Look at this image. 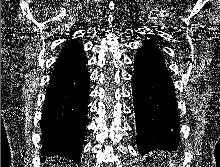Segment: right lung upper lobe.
<instances>
[{
	"label": "right lung upper lobe",
	"mask_w": 220,
	"mask_h": 167,
	"mask_svg": "<svg viewBox=\"0 0 220 167\" xmlns=\"http://www.w3.org/2000/svg\"><path fill=\"white\" fill-rule=\"evenodd\" d=\"M86 60L83 47L76 39H72L67 41L65 47L61 50L56 61L55 70L77 67Z\"/></svg>",
	"instance_id": "obj_1"
}]
</instances>
